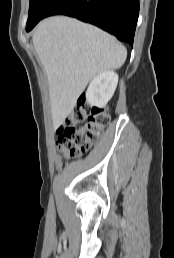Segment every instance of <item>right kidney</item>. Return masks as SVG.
<instances>
[{
    "mask_svg": "<svg viewBox=\"0 0 174 258\" xmlns=\"http://www.w3.org/2000/svg\"><path fill=\"white\" fill-rule=\"evenodd\" d=\"M118 83L114 71H105L95 76L86 91V101L91 106L102 108L112 98Z\"/></svg>",
    "mask_w": 174,
    "mask_h": 258,
    "instance_id": "right-kidney-1",
    "label": "right kidney"
}]
</instances>
